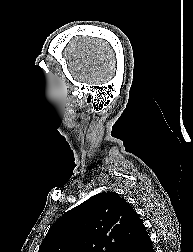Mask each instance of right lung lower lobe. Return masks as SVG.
<instances>
[{"label":"right lung lower lobe","instance_id":"right-lung-lower-lobe-1","mask_svg":"<svg viewBox=\"0 0 193 252\" xmlns=\"http://www.w3.org/2000/svg\"><path fill=\"white\" fill-rule=\"evenodd\" d=\"M128 252H155L146 229L142 231L137 242Z\"/></svg>","mask_w":193,"mask_h":252}]
</instances>
